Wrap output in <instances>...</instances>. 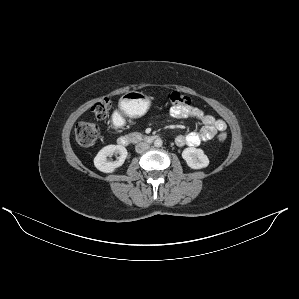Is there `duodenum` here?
Masks as SVG:
<instances>
[{
	"label": "duodenum",
	"instance_id": "duodenum-1",
	"mask_svg": "<svg viewBox=\"0 0 299 299\" xmlns=\"http://www.w3.org/2000/svg\"><path fill=\"white\" fill-rule=\"evenodd\" d=\"M142 141H144L145 143H153L156 139L157 136L155 135H149V136H143L140 138ZM133 138L130 136H121L118 138V144L121 146H128L133 142Z\"/></svg>",
	"mask_w": 299,
	"mask_h": 299
}]
</instances>
